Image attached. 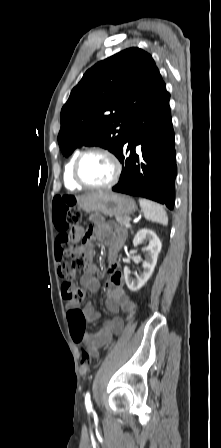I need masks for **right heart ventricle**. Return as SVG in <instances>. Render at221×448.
<instances>
[{"instance_id":"1","label":"right heart ventricle","mask_w":221,"mask_h":448,"mask_svg":"<svg viewBox=\"0 0 221 448\" xmlns=\"http://www.w3.org/2000/svg\"><path fill=\"white\" fill-rule=\"evenodd\" d=\"M80 154L79 151L75 152L70 159L68 160L67 164L65 165L64 174H63V180L64 185L69 190H77L82 188L80 185H78L72 178V167L74 164L75 159Z\"/></svg>"}]
</instances>
